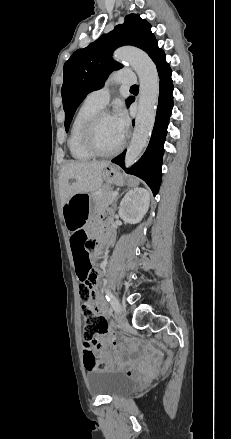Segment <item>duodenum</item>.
Masks as SVG:
<instances>
[{"label": "duodenum", "instance_id": "duodenum-1", "mask_svg": "<svg viewBox=\"0 0 231 439\" xmlns=\"http://www.w3.org/2000/svg\"><path fill=\"white\" fill-rule=\"evenodd\" d=\"M106 240H108V237L106 236V235H104V237L102 238V241H106ZM96 243H94V245H95ZM97 249H99V244H98V246H97Z\"/></svg>", "mask_w": 231, "mask_h": 439}]
</instances>
